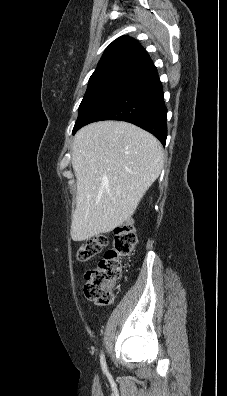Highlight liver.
I'll return each mask as SVG.
<instances>
[{"label":"liver","mask_w":227,"mask_h":396,"mask_svg":"<svg viewBox=\"0 0 227 396\" xmlns=\"http://www.w3.org/2000/svg\"><path fill=\"white\" fill-rule=\"evenodd\" d=\"M77 181L71 238L90 239L121 226L134 214L163 168V148L145 130L122 121H101L74 137Z\"/></svg>","instance_id":"obj_1"}]
</instances>
